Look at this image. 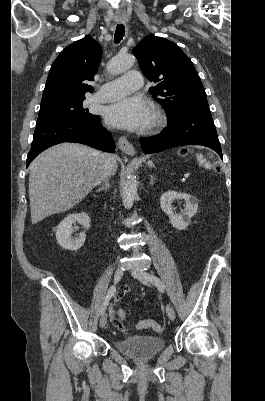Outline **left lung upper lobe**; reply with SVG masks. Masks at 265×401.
Returning <instances> with one entry per match:
<instances>
[{
	"mask_svg": "<svg viewBox=\"0 0 265 401\" xmlns=\"http://www.w3.org/2000/svg\"><path fill=\"white\" fill-rule=\"evenodd\" d=\"M133 54L144 75L156 83L149 92L164 107L168 119L189 111H210L192 61L175 43L150 35L133 48Z\"/></svg>",
	"mask_w": 265,
	"mask_h": 401,
	"instance_id": "obj_1",
	"label": "left lung upper lobe"
}]
</instances>
